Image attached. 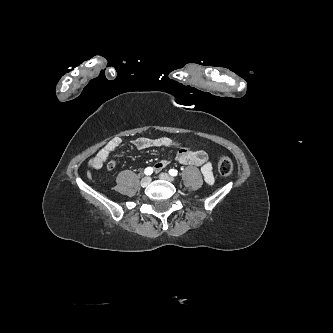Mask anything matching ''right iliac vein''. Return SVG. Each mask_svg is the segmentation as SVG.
Masks as SVG:
<instances>
[{
    "mask_svg": "<svg viewBox=\"0 0 333 333\" xmlns=\"http://www.w3.org/2000/svg\"><path fill=\"white\" fill-rule=\"evenodd\" d=\"M151 183V178L150 177H144L141 180V186L142 187H147Z\"/></svg>",
    "mask_w": 333,
    "mask_h": 333,
    "instance_id": "right-iliac-vein-1",
    "label": "right iliac vein"
}]
</instances>
